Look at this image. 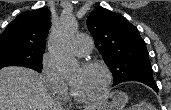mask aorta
Returning <instances> with one entry per match:
<instances>
[{
    "label": "aorta",
    "instance_id": "1",
    "mask_svg": "<svg viewBox=\"0 0 171 110\" xmlns=\"http://www.w3.org/2000/svg\"><path fill=\"white\" fill-rule=\"evenodd\" d=\"M77 29L73 17L63 16L48 42V52L52 63L61 75L72 73L77 67L70 44Z\"/></svg>",
    "mask_w": 171,
    "mask_h": 110
}]
</instances>
